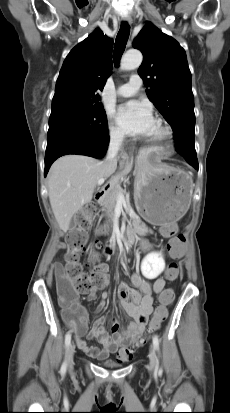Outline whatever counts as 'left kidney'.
<instances>
[{
    "label": "left kidney",
    "mask_w": 230,
    "mask_h": 413,
    "mask_svg": "<svg viewBox=\"0 0 230 413\" xmlns=\"http://www.w3.org/2000/svg\"><path fill=\"white\" fill-rule=\"evenodd\" d=\"M165 269V261L161 253L151 252L141 262L142 275L147 279L157 278Z\"/></svg>",
    "instance_id": "left-kidney-1"
}]
</instances>
